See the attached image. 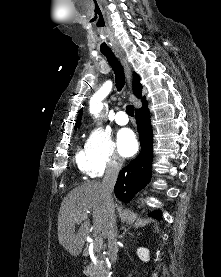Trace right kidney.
I'll return each instance as SVG.
<instances>
[{
  "label": "right kidney",
  "mask_w": 221,
  "mask_h": 277,
  "mask_svg": "<svg viewBox=\"0 0 221 277\" xmlns=\"http://www.w3.org/2000/svg\"><path fill=\"white\" fill-rule=\"evenodd\" d=\"M137 254H138V257L143 262H148L150 260L149 250L147 248H143V247L138 248L137 249Z\"/></svg>",
  "instance_id": "right-kidney-1"
}]
</instances>
